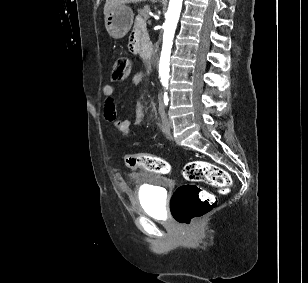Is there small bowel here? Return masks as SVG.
Returning <instances> with one entry per match:
<instances>
[{
	"instance_id": "1",
	"label": "small bowel",
	"mask_w": 308,
	"mask_h": 283,
	"mask_svg": "<svg viewBox=\"0 0 308 283\" xmlns=\"http://www.w3.org/2000/svg\"><path fill=\"white\" fill-rule=\"evenodd\" d=\"M146 37L145 22L141 17L136 18L134 28L130 34L128 41V49L134 54L141 51V40ZM143 74L138 72L133 75L132 82L138 84L142 81ZM103 94L106 97L104 104V118L106 121L112 123L124 136L133 134L132 125H137L142 122L145 116L143 107L137 108L134 114V119H119L117 108L114 99V87L110 84L103 86Z\"/></svg>"
}]
</instances>
